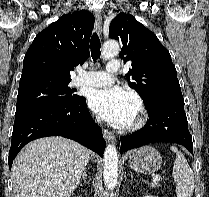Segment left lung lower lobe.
Wrapping results in <instances>:
<instances>
[{
	"mask_svg": "<svg viewBox=\"0 0 209 197\" xmlns=\"http://www.w3.org/2000/svg\"><path fill=\"white\" fill-rule=\"evenodd\" d=\"M146 109L150 117L147 124L134 134L120 138L121 153L149 143L171 142L185 146L193 154L183 98L159 99Z\"/></svg>",
	"mask_w": 209,
	"mask_h": 197,
	"instance_id": "obj_1",
	"label": "left lung lower lobe"
}]
</instances>
